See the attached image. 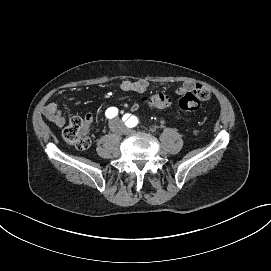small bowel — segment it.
<instances>
[{
    "instance_id": "c3829d8e",
    "label": "small bowel",
    "mask_w": 271,
    "mask_h": 271,
    "mask_svg": "<svg viewBox=\"0 0 271 271\" xmlns=\"http://www.w3.org/2000/svg\"><path fill=\"white\" fill-rule=\"evenodd\" d=\"M196 87V84L191 81L184 82L181 86L175 88V92L179 95H183L187 92H191ZM120 88L123 92H136V93H143L148 88V83L144 80L138 81H123L120 85ZM131 109L133 111H137L139 109L138 103H133L131 105ZM44 117L54 124L57 127H62L66 123V119L61 113L60 109L58 108L56 103H48L42 110ZM85 121L90 125L92 121V114L88 113L85 117Z\"/></svg>"
}]
</instances>
